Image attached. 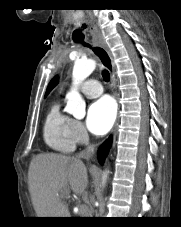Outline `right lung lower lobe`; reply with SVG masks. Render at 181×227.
Returning <instances> with one entry per match:
<instances>
[{
	"label": "right lung lower lobe",
	"instance_id": "right-lung-lower-lobe-1",
	"mask_svg": "<svg viewBox=\"0 0 181 227\" xmlns=\"http://www.w3.org/2000/svg\"><path fill=\"white\" fill-rule=\"evenodd\" d=\"M110 145H111V138L106 140V142H104L98 150V160L101 164H103L104 159H105L106 155L108 154Z\"/></svg>",
	"mask_w": 181,
	"mask_h": 227
}]
</instances>
